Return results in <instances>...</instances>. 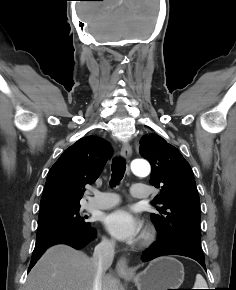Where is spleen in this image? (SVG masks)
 I'll use <instances>...</instances> for the list:
<instances>
[{
	"label": "spleen",
	"instance_id": "1",
	"mask_svg": "<svg viewBox=\"0 0 236 290\" xmlns=\"http://www.w3.org/2000/svg\"><path fill=\"white\" fill-rule=\"evenodd\" d=\"M194 289H207V283L201 274L196 275Z\"/></svg>",
	"mask_w": 236,
	"mask_h": 290
}]
</instances>
